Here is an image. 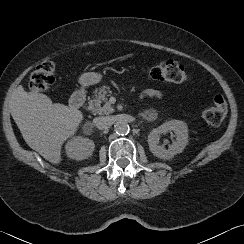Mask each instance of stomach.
<instances>
[{
  "label": "stomach",
  "mask_w": 244,
  "mask_h": 244,
  "mask_svg": "<svg viewBox=\"0 0 244 244\" xmlns=\"http://www.w3.org/2000/svg\"><path fill=\"white\" fill-rule=\"evenodd\" d=\"M101 79H102L101 74L90 72V73L83 74L80 77L79 81L82 86H90V85L97 84L98 82L101 81Z\"/></svg>",
  "instance_id": "obj_1"
}]
</instances>
